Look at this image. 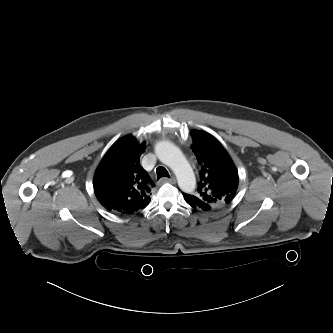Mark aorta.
Wrapping results in <instances>:
<instances>
[{
	"label": "aorta",
	"instance_id": "762f6f07",
	"mask_svg": "<svg viewBox=\"0 0 333 333\" xmlns=\"http://www.w3.org/2000/svg\"><path fill=\"white\" fill-rule=\"evenodd\" d=\"M158 159L175 173L180 189L191 193L196 187L194 172L181 150L169 141H160L155 146Z\"/></svg>",
	"mask_w": 333,
	"mask_h": 333
}]
</instances>
